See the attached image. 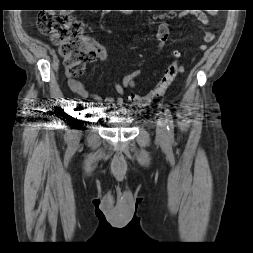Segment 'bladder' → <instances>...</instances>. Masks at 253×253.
Here are the masks:
<instances>
[{
    "label": "bladder",
    "instance_id": "bladder-1",
    "mask_svg": "<svg viewBox=\"0 0 253 253\" xmlns=\"http://www.w3.org/2000/svg\"><path fill=\"white\" fill-rule=\"evenodd\" d=\"M104 117L108 125L113 127H130L134 123V119L125 109L105 111Z\"/></svg>",
    "mask_w": 253,
    "mask_h": 253
}]
</instances>
